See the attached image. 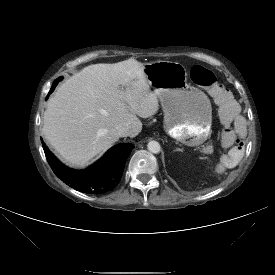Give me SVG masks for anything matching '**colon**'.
<instances>
[{
  "instance_id": "1",
  "label": "colon",
  "mask_w": 275,
  "mask_h": 275,
  "mask_svg": "<svg viewBox=\"0 0 275 275\" xmlns=\"http://www.w3.org/2000/svg\"><path fill=\"white\" fill-rule=\"evenodd\" d=\"M191 79L197 85L204 87L218 105H221L227 99V90L211 70L196 65L191 69ZM223 168L220 164L219 169L222 170Z\"/></svg>"
}]
</instances>
